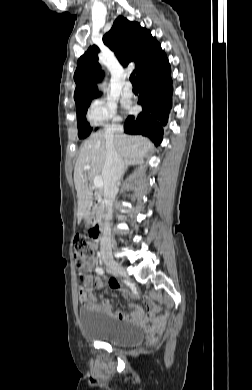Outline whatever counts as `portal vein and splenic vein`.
Masks as SVG:
<instances>
[{
  "label": "portal vein and splenic vein",
  "instance_id": "18ae733b",
  "mask_svg": "<svg viewBox=\"0 0 252 390\" xmlns=\"http://www.w3.org/2000/svg\"><path fill=\"white\" fill-rule=\"evenodd\" d=\"M91 167L90 166H85L86 170H89ZM94 186L96 188H101L103 186V180L101 176H95L94 177Z\"/></svg>",
  "mask_w": 252,
  "mask_h": 390
}]
</instances>
